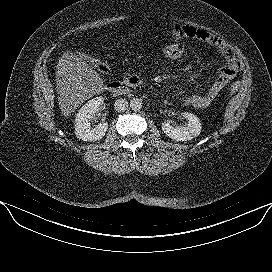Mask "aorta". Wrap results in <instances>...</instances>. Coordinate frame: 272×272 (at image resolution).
I'll use <instances>...</instances> for the list:
<instances>
[{
	"label": "aorta",
	"mask_w": 272,
	"mask_h": 272,
	"mask_svg": "<svg viewBox=\"0 0 272 272\" xmlns=\"http://www.w3.org/2000/svg\"><path fill=\"white\" fill-rule=\"evenodd\" d=\"M130 108L133 111H139L142 108V100L139 98H133L130 101Z\"/></svg>",
	"instance_id": "obj_1"
}]
</instances>
